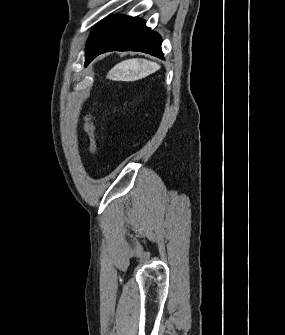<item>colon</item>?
<instances>
[{"instance_id":"colon-1","label":"colon","mask_w":285,"mask_h":335,"mask_svg":"<svg viewBox=\"0 0 285 335\" xmlns=\"http://www.w3.org/2000/svg\"><path fill=\"white\" fill-rule=\"evenodd\" d=\"M84 130L88 138V149L93 158L97 156V143H96V124L93 116V111H88L84 116Z\"/></svg>"}]
</instances>
